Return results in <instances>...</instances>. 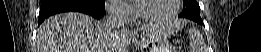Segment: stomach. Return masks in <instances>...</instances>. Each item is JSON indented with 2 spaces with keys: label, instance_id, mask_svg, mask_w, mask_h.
<instances>
[{
  "label": "stomach",
  "instance_id": "stomach-1",
  "mask_svg": "<svg viewBox=\"0 0 261 52\" xmlns=\"http://www.w3.org/2000/svg\"><path fill=\"white\" fill-rule=\"evenodd\" d=\"M147 30L140 37L137 36L133 39L140 52H170L165 40L154 28L149 27Z\"/></svg>",
  "mask_w": 261,
  "mask_h": 52
}]
</instances>
